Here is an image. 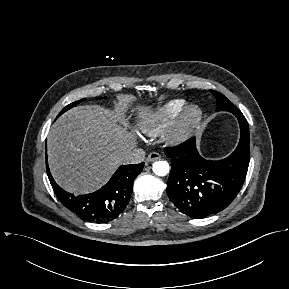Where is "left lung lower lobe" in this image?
I'll list each match as a JSON object with an SVG mask.
<instances>
[{
    "mask_svg": "<svg viewBox=\"0 0 289 289\" xmlns=\"http://www.w3.org/2000/svg\"><path fill=\"white\" fill-rule=\"evenodd\" d=\"M234 115L241 134L237 148L227 158L205 160L196 149L195 138L164 150L172 162L167 194L190 217L205 218L225 209L245 181L250 159L249 126L242 113Z\"/></svg>",
    "mask_w": 289,
    "mask_h": 289,
    "instance_id": "obj_1",
    "label": "left lung lower lobe"
}]
</instances>
